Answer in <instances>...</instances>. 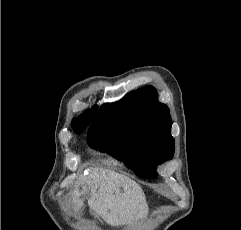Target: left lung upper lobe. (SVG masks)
Listing matches in <instances>:
<instances>
[{
	"mask_svg": "<svg viewBox=\"0 0 241 230\" xmlns=\"http://www.w3.org/2000/svg\"><path fill=\"white\" fill-rule=\"evenodd\" d=\"M145 86L121 101L104 104L88 130L91 148L109 153L141 177H155L156 166L173 156L169 108Z\"/></svg>",
	"mask_w": 241,
	"mask_h": 230,
	"instance_id": "left-lung-upper-lobe-1",
	"label": "left lung upper lobe"
}]
</instances>
